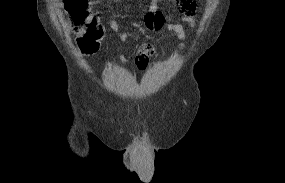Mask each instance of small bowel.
<instances>
[{
	"label": "small bowel",
	"instance_id": "1",
	"mask_svg": "<svg viewBox=\"0 0 285 183\" xmlns=\"http://www.w3.org/2000/svg\"><path fill=\"white\" fill-rule=\"evenodd\" d=\"M159 6V0H153L151 10L145 15L144 22L148 29L153 31H160L165 28L166 30L175 34L179 40V48L183 49L185 47V40L187 38V31L185 25L189 28H194L196 25L195 20V9L193 0H180V6L183 11L181 16L182 23L175 22H165L163 15L157 11ZM192 9L191 12H186V9ZM110 28L112 31L119 33V39L121 42H126L129 39V34L127 32H119V24L116 20L112 19L110 21ZM155 54V48L152 44L143 43L139 47V51L136 57V63L147 64L149 59ZM122 61H125V57L120 55Z\"/></svg>",
	"mask_w": 285,
	"mask_h": 183
}]
</instances>
